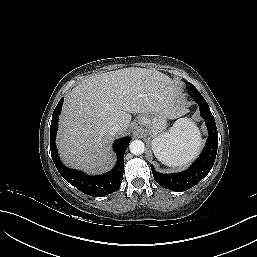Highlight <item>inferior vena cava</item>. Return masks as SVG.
Returning a JSON list of instances; mask_svg holds the SVG:
<instances>
[{
    "label": "inferior vena cava",
    "instance_id": "obj_1",
    "mask_svg": "<svg viewBox=\"0 0 257 257\" xmlns=\"http://www.w3.org/2000/svg\"><path fill=\"white\" fill-rule=\"evenodd\" d=\"M119 131H120V125H119V124H114V125L110 128V133H111L112 135H116Z\"/></svg>",
    "mask_w": 257,
    "mask_h": 257
}]
</instances>
